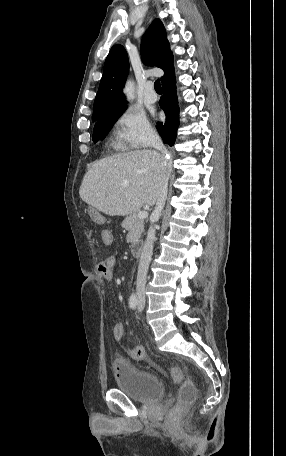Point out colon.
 I'll return each mask as SVG.
<instances>
[{
	"mask_svg": "<svg viewBox=\"0 0 286 456\" xmlns=\"http://www.w3.org/2000/svg\"><path fill=\"white\" fill-rule=\"evenodd\" d=\"M127 354L139 361L147 362L148 358L145 350L141 346L133 347L127 350ZM171 378L175 383H181L182 386L179 390V405L174 409L173 413H181L193 401L195 397L196 388L190 382L183 383L182 371L178 366H173L170 369Z\"/></svg>",
	"mask_w": 286,
	"mask_h": 456,
	"instance_id": "5ec220e1",
	"label": "colon"
}]
</instances>
